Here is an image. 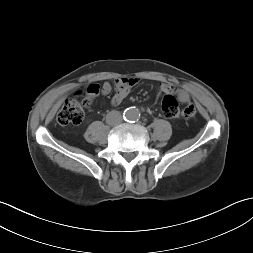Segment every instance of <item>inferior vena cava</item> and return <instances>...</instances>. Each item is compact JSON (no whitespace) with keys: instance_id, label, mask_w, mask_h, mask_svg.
<instances>
[{"instance_id":"obj_1","label":"inferior vena cava","mask_w":253,"mask_h":253,"mask_svg":"<svg viewBox=\"0 0 253 253\" xmlns=\"http://www.w3.org/2000/svg\"><path fill=\"white\" fill-rule=\"evenodd\" d=\"M106 122L109 125H118L122 122V115L119 111L112 110L106 116Z\"/></svg>"}]
</instances>
